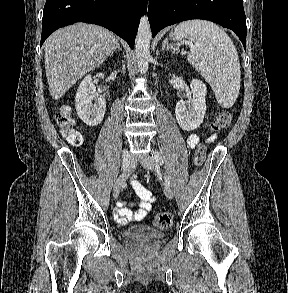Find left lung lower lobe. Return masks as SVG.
Returning a JSON list of instances; mask_svg holds the SVG:
<instances>
[{"label":"left lung lower lobe","instance_id":"0a47b994","mask_svg":"<svg viewBox=\"0 0 288 293\" xmlns=\"http://www.w3.org/2000/svg\"><path fill=\"white\" fill-rule=\"evenodd\" d=\"M152 36L166 26L190 19H205L233 30L246 50L243 0H149Z\"/></svg>","mask_w":288,"mask_h":293}]
</instances>
